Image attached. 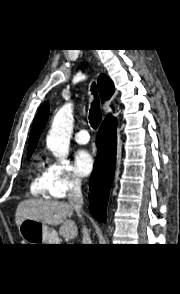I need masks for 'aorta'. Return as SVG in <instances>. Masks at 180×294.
<instances>
[{"label":"aorta","mask_w":180,"mask_h":294,"mask_svg":"<svg viewBox=\"0 0 180 294\" xmlns=\"http://www.w3.org/2000/svg\"><path fill=\"white\" fill-rule=\"evenodd\" d=\"M73 130V106L65 104L54 116L49 135L46 139L47 147L54 157L64 159L69 151L70 136Z\"/></svg>","instance_id":"762f6f07"}]
</instances>
